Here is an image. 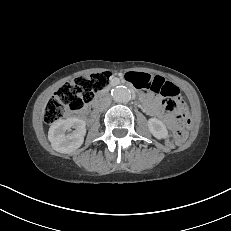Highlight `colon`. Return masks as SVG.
Segmentation results:
<instances>
[{
	"instance_id": "obj_1",
	"label": "colon",
	"mask_w": 231,
	"mask_h": 231,
	"mask_svg": "<svg viewBox=\"0 0 231 231\" xmlns=\"http://www.w3.org/2000/svg\"><path fill=\"white\" fill-rule=\"evenodd\" d=\"M133 77L140 79L139 76ZM110 78V72H99L77 77L63 84L45 108V121L51 124L61 119L68 111L81 110L109 85ZM177 93V88L171 85H166L159 91L160 95L170 100L175 98ZM187 125L188 117L182 111L168 142L170 144L182 142L187 136Z\"/></svg>"
}]
</instances>
